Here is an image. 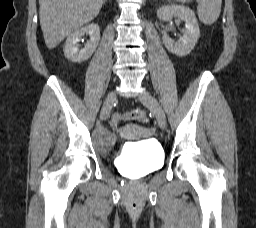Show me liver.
I'll return each instance as SVG.
<instances>
[{
    "instance_id": "liver-1",
    "label": "liver",
    "mask_w": 256,
    "mask_h": 228,
    "mask_svg": "<svg viewBox=\"0 0 256 228\" xmlns=\"http://www.w3.org/2000/svg\"><path fill=\"white\" fill-rule=\"evenodd\" d=\"M104 0H39L40 25L48 49L92 21Z\"/></svg>"
}]
</instances>
